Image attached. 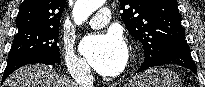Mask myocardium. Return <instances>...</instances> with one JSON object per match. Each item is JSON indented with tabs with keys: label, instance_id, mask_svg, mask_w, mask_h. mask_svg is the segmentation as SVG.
Returning <instances> with one entry per match:
<instances>
[{
	"label": "myocardium",
	"instance_id": "1",
	"mask_svg": "<svg viewBox=\"0 0 205 87\" xmlns=\"http://www.w3.org/2000/svg\"><path fill=\"white\" fill-rule=\"evenodd\" d=\"M132 63H133V57L130 56V57L128 58L127 66H126V67L129 69V68L131 67Z\"/></svg>",
	"mask_w": 205,
	"mask_h": 87
}]
</instances>
